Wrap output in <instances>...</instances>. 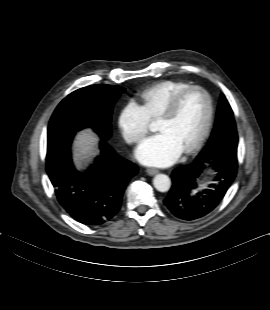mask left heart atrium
<instances>
[{"instance_id":"obj_1","label":"left heart atrium","mask_w":270,"mask_h":310,"mask_svg":"<svg viewBox=\"0 0 270 310\" xmlns=\"http://www.w3.org/2000/svg\"><path fill=\"white\" fill-rule=\"evenodd\" d=\"M182 150L164 132L143 140L136 149V158L145 165L165 166L173 163Z\"/></svg>"}]
</instances>
